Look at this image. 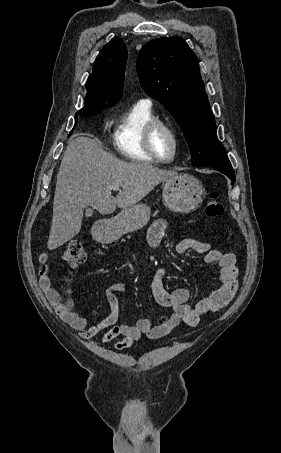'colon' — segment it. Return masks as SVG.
I'll return each mask as SVG.
<instances>
[{"instance_id":"5ec220e1","label":"colon","mask_w":281,"mask_h":453,"mask_svg":"<svg viewBox=\"0 0 281 453\" xmlns=\"http://www.w3.org/2000/svg\"><path fill=\"white\" fill-rule=\"evenodd\" d=\"M206 217L211 223H218L224 218L222 199L218 194H212L205 199ZM64 262H86L88 253L81 238H72L66 244L62 254Z\"/></svg>"}]
</instances>
